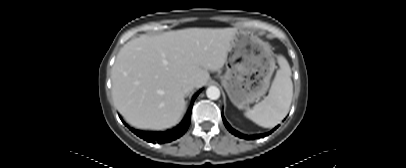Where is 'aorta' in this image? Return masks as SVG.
<instances>
[{"label":"aorta","mask_w":406,"mask_h":168,"mask_svg":"<svg viewBox=\"0 0 406 168\" xmlns=\"http://www.w3.org/2000/svg\"><path fill=\"white\" fill-rule=\"evenodd\" d=\"M206 95L211 100H217L220 97V90L216 86H210L206 90Z\"/></svg>","instance_id":"1"}]
</instances>
